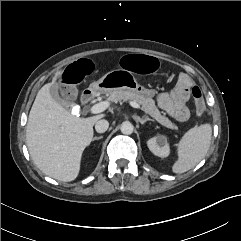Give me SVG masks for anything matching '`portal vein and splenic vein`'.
Instances as JSON below:
<instances>
[{"label": "portal vein and splenic vein", "mask_w": 241, "mask_h": 241, "mask_svg": "<svg viewBox=\"0 0 241 241\" xmlns=\"http://www.w3.org/2000/svg\"><path fill=\"white\" fill-rule=\"evenodd\" d=\"M130 105L136 109L141 108L140 105L136 102H130ZM109 106H110V103L108 101H102V102H99V103L93 105L90 108V112L92 114H98V113L105 111Z\"/></svg>", "instance_id": "obj_1"}]
</instances>
